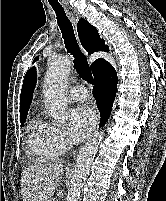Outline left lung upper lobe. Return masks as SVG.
<instances>
[{"instance_id":"1","label":"left lung upper lobe","mask_w":166,"mask_h":201,"mask_svg":"<svg viewBox=\"0 0 166 201\" xmlns=\"http://www.w3.org/2000/svg\"><path fill=\"white\" fill-rule=\"evenodd\" d=\"M35 60H38V57H36ZM35 60H34V61H35Z\"/></svg>"}]
</instances>
